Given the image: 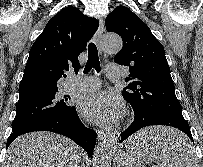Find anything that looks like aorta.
<instances>
[{"mask_svg": "<svg viewBox=\"0 0 203 167\" xmlns=\"http://www.w3.org/2000/svg\"><path fill=\"white\" fill-rule=\"evenodd\" d=\"M122 39L116 34H106L101 40V49L107 54H116L122 49ZM118 134L105 137L95 150L93 167H111L118 143Z\"/></svg>", "mask_w": 203, "mask_h": 167, "instance_id": "aorta-1", "label": "aorta"}]
</instances>
